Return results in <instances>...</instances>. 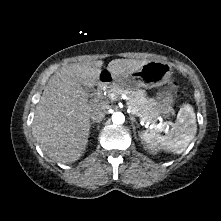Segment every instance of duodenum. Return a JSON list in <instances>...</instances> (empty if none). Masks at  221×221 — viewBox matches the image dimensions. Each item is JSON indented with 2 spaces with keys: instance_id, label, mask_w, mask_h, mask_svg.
Here are the masks:
<instances>
[{
  "instance_id": "obj_1",
  "label": "duodenum",
  "mask_w": 221,
  "mask_h": 221,
  "mask_svg": "<svg viewBox=\"0 0 221 221\" xmlns=\"http://www.w3.org/2000/svg\"><path fill=\"white\" fill-rule=\"evenodd\" d=\"M111 81V77L109 74H102L100 76L99 88H102L105 84Z\"/></svg>"
}]
</instances>
